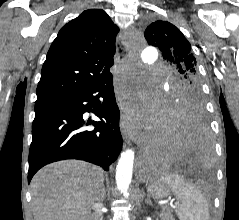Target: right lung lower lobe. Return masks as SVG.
<instances>
[{
	"label": "right lung lower lobe",
	"mask_w": 239,
	"mask_h": 220,
	"mask_svg": "<svg viewBox=\"0 0 239 220\" xmlns=\"http://www.w3.org/2000/svg\"><path fill=\"white\" fill-rule=\"evenodd\" d=\"M90 111L101 121L84 120ZM90 124L92 131L86 129ZM121 149L119 108L109 73L85 91L35 104L28 183L44 165L64 159L85 160L108 171Z\"/></svg>",
	"instance_id": "obj_1"
}]
</instances>
